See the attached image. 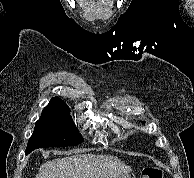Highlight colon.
<instances>
[{"label":"colon","mask_w":194,"mask_h":178,"mask_svg":"<svg viewBox=\"0 0 194 178\" xmlns=\"http://www.w3.org/2000/svg\"><path fill=\"white\" fill-rule=\"evenodd\" d=\"M163 170L156 166H149L143 169L142 178H163Z\"/></svg>","instance_id":"obj_1"}]
</instances>
